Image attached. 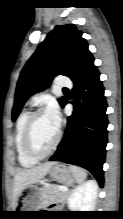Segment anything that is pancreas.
I'll list each match as a JSON object with an SVG mask.
<instances>
[{"label":"pancreas","instance_id":"cf45deb5","mask_svg":"<svg viewBox=\"0 0 123 219\" xmlns=\"http://www.w3.org/2000/svg\"><path fill=\"white\" fill-rule=\"evenodd\" d=\"M68 193L59 189V186H45L41 189V207L49 206L56 202H64Z\"/></svg>","mask_w":123,"mask_h":219}]
</instances>
